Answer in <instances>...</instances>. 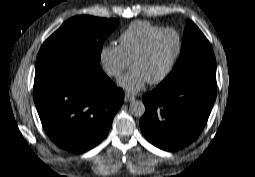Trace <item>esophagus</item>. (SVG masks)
<instances>
[{"mask_svg": "<svg viewBox=\"0 0 255 177\" xmlns=\"http://www.w3.org/2000/svg\"><path fill=\"white\" fill-rule=\"evenodd\" d=\"M134 99H135L134 96H131L129 94H125V97H124L125 102H130Z\"/></svg>", "mask_w": 255, "mask_h": 177, "instance_id": "esophagus-1", "label": "esophagus"}]
</instances>
